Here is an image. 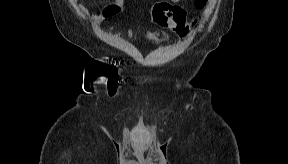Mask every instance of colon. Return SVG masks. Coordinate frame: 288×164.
<instances>
[{
  "mask_svg": "<svg viewBox=\"0 0 288 164\" xmlns=\"http://www.w3.org/2000/svg\"><path fill=\"white\" fill-rule=\"evenodd\" d=\"M117 6H109L103 11L106 17L117 11ZM152 20L162 28H168L180 37L188 36L195 28L196 20H188L185 11L174 4L158 3L151 12Z\"/></svg>",
  "mask_w": 288,
  "mask_h": 164,
  "instance_id": "obj_1",
  "label": "colon"
}]
</instances>
